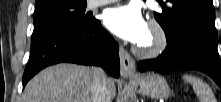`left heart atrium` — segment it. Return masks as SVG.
Segmentation results:
<instances>
[{
	"label": "left heart atrium",
	"mask_w": 221,
	"mask_h": 102,
	"mask_svg": "<svg viewBox=\"0 0 221 102\" xmlns=\"http://www.w3.org/2000/svg\"><path fill=\"white\" fill-rule=\"evenodd\" d=\"M104 24L117 36L140 44L148 32V26L139 9L124 5L109 9Z\"/></svg>",
	"instance_id": "39dd6f15"
}]
</instances>
